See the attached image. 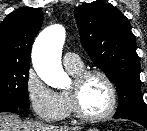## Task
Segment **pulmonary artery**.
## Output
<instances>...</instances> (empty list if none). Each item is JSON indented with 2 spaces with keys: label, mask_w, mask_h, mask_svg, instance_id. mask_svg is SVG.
<instances>
[{
  "label": "pulmonary artery",
  "mask_w": 147,
  "mask_h": 131,
  "mask_svg": "<svg viewBox=\"0 0 147 131\" xmlns=\"http://www.w3.org/2000/svg\"><path fill=\"white\" fill-rule=\"evenodd\" d=\"M63 64L67 69H80L83 63L80 57L72 52H66L63 56Z\"/></svg>",
  "instance_id": "pulmonary-artery-1"
}]
</instances>
